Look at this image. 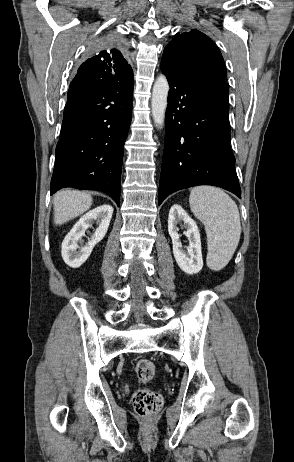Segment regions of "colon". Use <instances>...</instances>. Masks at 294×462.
I'll use <instances>...</instances> for the list:
<instances>
[{"mask_svg": "<svg viewBox=\"0 0 294 462\" xmlns=\"http://www.w3.org/2000/svg\"><path fill=\"white\" fill-rule=\"evenodd\" d=\"M135 373L139 381L146 384L154 377L155 365L149 359H141L136 364ZM132 402L137 414L144 418L156 415L163 405L161 395L149 388L136 390L132 396Z\"/></svg>", "mask_w": 294, "mask_h": 462, "instance_id": "colon-1", "label": "colon"}]
</instances>
